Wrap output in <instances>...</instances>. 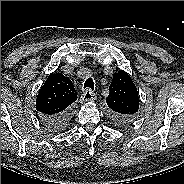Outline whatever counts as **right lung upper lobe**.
<instances>
[{
  "label": "right lung upper lobe",
  "instance_id": "cb5924a9",
  "mask_svg": "<svg viewBox=\"0 0 184 184\" xmlns=\"http://www.w3.org/2000/svg\"><path fill=\"white\" fill-rule=\"evenodd\" d=\"M76 100L72 81L62 73H51L37 95L36 109L40 116H55L67 111Z\"/></svg>",
  "mask_w": 184,
  "mask_h": 184
}]
</instances>
